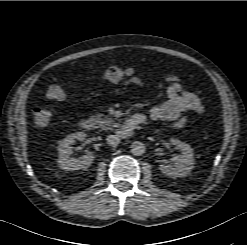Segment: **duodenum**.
<instances>
[{
	"label": "duodenum",
	"instance_id": "1",
	"mask_svg": "<svg viewBox=\"0 0 247 245\" xmlns=\"http://www.w3.org/2000/svg\"><path fill=\"white\" fill-rule=\"evenodd\" d=\"M147 122L142 114H134L127 118L122 127L117 131V135L120 138H129L132 136L137 125L146 124ZM80 127L83 130L89 131L93 128V121L89 118H82L80 120Z\"/></svg>",
	"mask_w": 247,
	"mask_h": 245
}]
</instances>
